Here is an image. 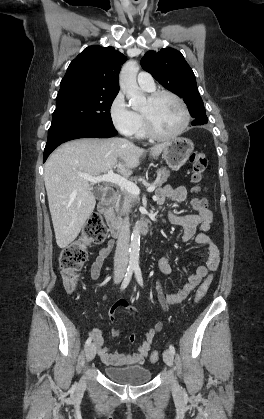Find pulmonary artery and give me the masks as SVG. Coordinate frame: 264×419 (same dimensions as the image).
<instances>
[{
    "label": "pulmonary artery",
    "mask_w": 264,
    "mask_h": 419,
    "mask_svg": "<svg viewBox=\"0 0 264 419\" xmlns=\"http://www.w3.org/2000/svg\"><path fill=\"white\" fill-rule=\"evenodd\" d=\"M137 82L144 90H153L155 87L153 77L148 72H140L137 77Z\"/></svg>",
    "instance_id": "obj_1"
}]
</instances>
